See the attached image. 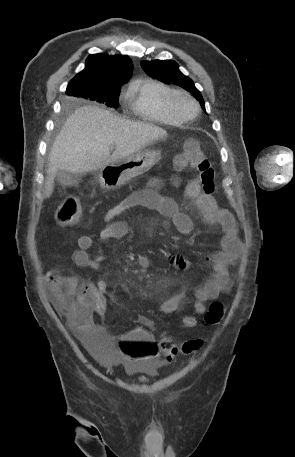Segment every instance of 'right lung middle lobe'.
Listing matches in <instances>:
<instances>
[{
  "instance_id": "right-lung-middle-lobe-1",
  "label": "right lung middle lobe",
  "mask_w": 295,
  "mask_h": 457,
  "mask_svg": "<svg viewBox=\"0 0 295 457\" xmlns=\"http://www.w3.org/2000/svg\"><path fill=\"white\" fill-rule=\"evenodd\" d=\"M67 94L70 96L89 98L90 100L104 103L109 107L117 108L120 88L96 90L82 85H75Z\"/></svg>"
}]
</instances>
